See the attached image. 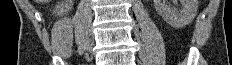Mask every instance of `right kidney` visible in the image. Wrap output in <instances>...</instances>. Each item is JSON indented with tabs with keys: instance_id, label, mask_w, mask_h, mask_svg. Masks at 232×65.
<instances>
[{
	"instance_id": "1",
	"label": "right kidney",
	"mask_w": 232,
	"mask_h": 65,
	"mask_svg": "<svg viewBox=\"0 0 232 65\" xmlns=\"http://www.w3.org/2000/svg\"><path fill=\"white\" fill-rule=\"evenodd\" d=\"M72 0H64L62 3L57 5L54 10V14H57L58 16H62L64 14H67L69 10L73 6Z\"/></svg>"
}]
</instances>
